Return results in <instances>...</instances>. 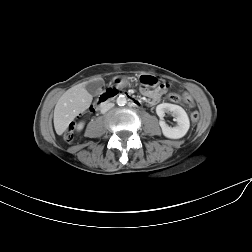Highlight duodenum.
<instances>
[{
	"instance_id": "410a0bca",
	"label": "duodenum",
	"mask_w": 252,
	"mask_h": 252,
	"mask_svg": "<svg viewBox=\"0 0 252 252\" xmlns=\"http://www.w3.org/2000/svg\"><path fill=\"white\" fill-rule=\"evenodd\" d=\"M119 94L125 95V96L128 98L129 102H130L134 107H140V106H141L140 102H139L138 100H136L134 97L128 95L127 93H125V92H123V91L117 90V91L113 92V93L110 94V95H102V96H100L99 99L97 100V107H98L99 109L104 108L105 105L108 103V101H109L110 99L114 98L115 96H117V95H119Z\"/></svg>"
}]
</instances>
